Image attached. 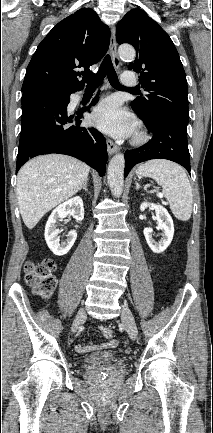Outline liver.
I'll use <instances>...</instances> for the list:
<instances>
[{"label":"liver","instance_id":"1","mask_svg":"<svg viewBox=\"0 0 213 433\" xmlns=\"http://www.w3.org/2000/svg\"><path fill=\"white\" fill-rule=\"evenodd\" d=\"M88 174V165L67 155H42L28 161L18 172L16 190L27 228H34L49 210L75 195Z\"/></svg>","mask_w":213,"mask_h":433}]
</instances>
